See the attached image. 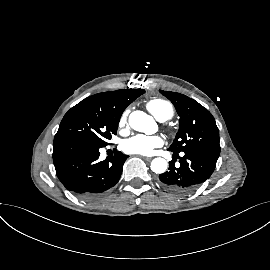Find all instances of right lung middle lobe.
<instances>
[{
    "label": "right lung middle lobe",
    "instance_id": "1",
    "mask_svg": "<svg viewBox=\"0 0 270 270\" xmlns=\"http://www.w3.org/2000/svg\"><path fill=\"white\" fill-rule=\"evenodd\" d=\"M120 117L86 98L65 114L54 139L78 138L105 147L117 133Z\"/></svg>",
    "mask_w": 270,
    "mask_h": 270
}]
</instances>
